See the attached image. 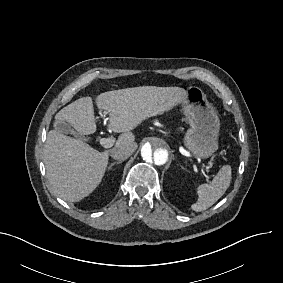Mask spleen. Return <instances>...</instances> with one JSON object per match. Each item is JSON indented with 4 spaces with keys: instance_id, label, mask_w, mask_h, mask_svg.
<instances>
[{
    "instance_id": "3e777b00",
    "label": "spleen",
    "mask_w": 283,
    "mask_h": 283,
    "mask_svg": "<svg viewBox=\"0 0 283 283\" xmlns=\"http://www.w3.org/2000/svg\"><path fill=\"white\" fill-rule=\"evenodd\" d=\"M231 179V166H222L210 184H202L198 187V201L192 204V210L200 212L211 207L224 195Z\"/></svg>"
}]
</instances>
